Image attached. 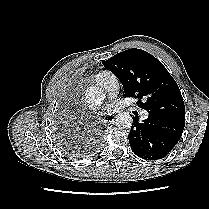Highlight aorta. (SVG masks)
Listing matches in <instances>:
<instances>
[{
  "mask_svg": "<svg viewBox=\"0 0 209 209\" xmlns=\"http://www.w3.org/2000/svg\"><path fill=\"white\" fill-rule=\"evenodd\" d=\"M85 99L90 104L100 105L105 99V92L98 86H91L85 92ZM132 123V117L126 112L118 114L115 120V124L123 129L131 128Z\"/></svg>",
  "mask_w": 209,
  "mask_h": 209,
  "instance_id": "762f6f07",
  "label": "aorta"
}]
</instances>
